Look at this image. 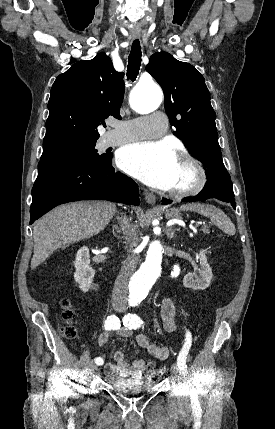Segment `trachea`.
I'll list each match as a JSON object with an SVG mask.
<instances>
[{
	"label": "trachea",
	"instance_id": "1",
	"mask_svg": "<svg viewBox=\"0 0 275 429\" xmlns=\"http://www.w3.org/2000/svg\"><path fill=\"white\" fill-rule=\"evenodd\" d=\"M141 66V46L138 39L132 43L131 52L128 57L127 79L132 82L136 80Z\"/></svg>",
	"mask_w": 275,
	"mask_h": 429
}]
</instances>
